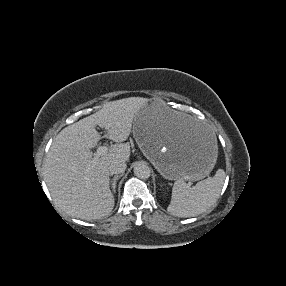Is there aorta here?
I'll return each mask as SVG.
<instances>
[{
    "label": "aorta",
    "instance_id": "1",
    "mask_svg": "<svg viewBox=\"0 0 286 286\" xmlns=\"http://www.w3.org/2000/svg\"><path fill=\"white\" fill-rule=\"evenodd\" d=\"M134 174L140 179H148L151 175V170L146 163L141 161L135 164Z\"/></svg>",
    "mask_w": 286,
    "mask_h": 286
}]
</instances>
